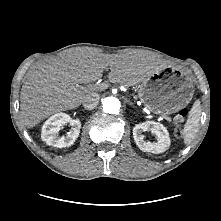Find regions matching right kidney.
Here are the masks:
<instances>
[{
    "mask_svg": "<svg viewBox=\"0 0 221 221\" xmlns=\"http://www.w3.org/2000/svg\"><path fill=\"white\" fill-rule=\"evenodd\" d=\"M70 123L72 130L66 136L58 137L60 127ZM81 128L79 119H72L66 113H57L48 118L42 126L41 137L48 144L57 148L69 147L78 138Z\"/></svg>",
    "mask_w": 221,
    "mask_h": 221,
    "instance_id": "obj_1",
    "label": "right kidney"
}]
</instances>
